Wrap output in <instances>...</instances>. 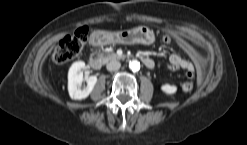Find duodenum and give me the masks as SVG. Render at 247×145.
I'll use <instances>...</instances> for the list:
<instances>
[{"label":"duodenum","instance_id":"obj_1","mask_svg":"<svg viewBox=\"0 0 247 145\" xmlns=\"http://www.w3.org/2000/svg\"><path fill=\"white\" fill-rule=\"evenodd\" d=\"M106 37L107 36L104 34H95L92 37L91 43L93 46H98L104 41ZM141 60L148 69L154 68V61L151 58L142 57ZM89 65L93 69H99L101 67V61L95 57H91L89 58Z\"/></svg>","mask_w":247,"mask_h":145}]
</instances>
